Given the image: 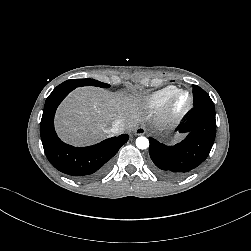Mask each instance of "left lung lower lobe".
Instances as JSON below:
<instances>
[{
	"label": "left lung lower lobe",
	"mask_w": 251,
	"mask_h": 251,
	"mask_svg": "<svg viewBox=\"0 0 251 251\" xmlns=\"http://www.w3.org/2000/svg\"><path fill=\"white\" fill-rule=\"evenodd\" d=\"M178 131L187 137L174 146H166L149 138V154L155 171L170 179L185 176L209 155L216 135L215 108L194 107Z\"/></svg>",
	"instance_id": "left-lung-lower-lobe-1"
}]
</instances>
